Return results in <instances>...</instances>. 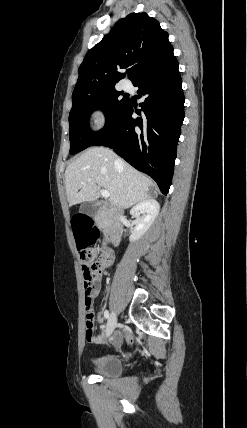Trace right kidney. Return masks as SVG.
Wrapping results in <instances>:
<instances>
[{
  "instance_id": "right-kidney-1",
  "label": "right kidney",
  "mask_w": 247,
  "mask_h": 428,
  "mask_svg": "<svg viewBox=\"0 0 247 428\" xmlns=\"http://www.w3.org/2000/svg\"><path fill=\"white\" fill-rule=\"evenodd\" d=\"M160 205L154 199H146L139 202L130 210V215L136 218V226L130 235V241L141 238L150 228L159 214Z\"/></svg>"
}]
</instances>
